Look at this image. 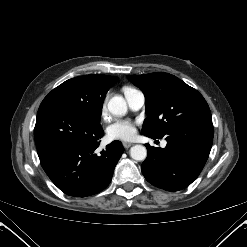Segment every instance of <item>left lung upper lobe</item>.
<instances>
[{"label":"left lung upper lobe","mask_w":247,"mask_h":247,"mask_svg":"<svg viewBox=\"0 0 247 247\" xmlns=\"http://www.w3.org/2000/svg\"><path fill=\"white\" fill-rule=\"evenodd\" d=\"M127 78L145 95L149 116L144 120V135L162 138L187 125L212 122L203 96L174 75L150 73Z\"/></svg>","instance_id":"5c2ea615"}]
</instances>
